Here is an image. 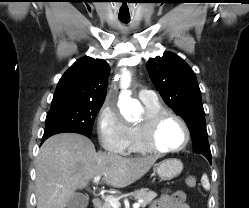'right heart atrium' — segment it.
Here are the masks:
<instances>
[{
  "mask_svg": "<svg viewBox=\"0 0 249 208\" xmlns=\"http://www.w3.org/2000/svg\"><path fill=\"white\" fill-rule=\"evenodd\" d=\"M97 134L105 150L116 154L127 153V125L109 103H105L98 113Z\"/></svg>",
  "mask_w": 249,
  "mask_h": 208,
  "instance_id": "d8ad5b80",
  "label": "right heart atrium"
}]
</instances>
